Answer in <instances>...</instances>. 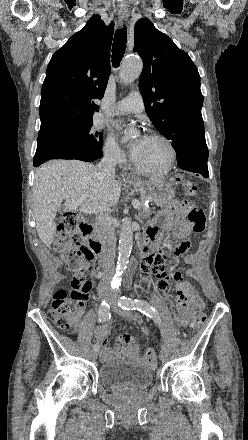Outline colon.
Wrapping results in <instances>:
<instances>
[{"label": "colon", "mask_w": 248, "mask_h": 440, "mask_svg": "<svg viewBox=\"0 0 248 440\" xmlns=\"http://www.w3.org/2000/svg\"><path fill=\"white\" fill-rule=\"evenodd\" d=\"M196 186L186 182V192L189 195L196 193ZM180 207L187 213V221L191 231L200 233L205 228V216L203 212L191 203H181ZM81 217L72 211H65L59 218L58 234L54 242L55 249L60 253L66 268L73 272L70 289L58 290L53 297L52 306L49 311L50 319L60 328H69L77 317L76 309L89 299L92 289V282L86 278V274L98 267V261L90 246L81 241ZM170 250L171 246L166 245ZM206 320V314L199 310L189 326V336L202 328ZM143 336H148V327L141 329ZM143 360L146 364L154 366L156 355L151 348L145 352Z\"/></svg>", "instance_id": "colon-1"}]
</instances>
